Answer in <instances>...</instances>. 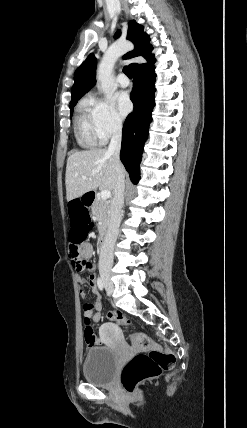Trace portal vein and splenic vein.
Returning a JSON list of instances; mask_svg holds the SVG:
<instances>
[{
  "mask_svg": "<svg viewBox=\"0 0 247 428\" xmlns=\"http://www.w3.org/2000/svg\"><path fill=\"white\" fill-rule=\"evenodd\" d=\"M83 179H87V177L83 176ZM100 196H101V198L103 200H107L111 196V191H109V190H102L101 193H100Z\"/></svg>",
  "mask_w": 247,
  "mask_h": 428,
  "instance_id": "portal-vein-and-splenic-vein-1",
  "label": "portal vein and splenic vein"
}]
</instances>
